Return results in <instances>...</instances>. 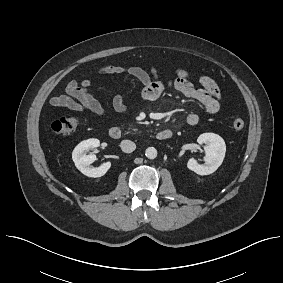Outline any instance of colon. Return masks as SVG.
Segmentation results:
<instances>
[{"mask_svg":"<svg viewBox=\"0 0 283 283\" xmlns=\"http://www.w3.org/2000/svg\"><path fill=\"white\" fill-rule=\"evenodd\" d=\"M80 122L79 116H62L52 124V130L57 135L69 136L78 129ZM232 125L234 129L241 130L244 128L245 122L241 118H236Z\"/></svg>","mask_w":283,"mask_h":283,"instance_id":"colon-1","label":"colon"}]
</instances>
